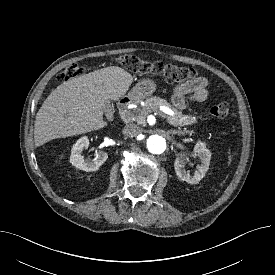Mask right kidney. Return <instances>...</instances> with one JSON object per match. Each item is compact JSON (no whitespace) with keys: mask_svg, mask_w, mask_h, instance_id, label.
Instances as JSON below:
<instances>
[{"mask_svg":"<svg viewBox=\"0 0 275 275\" xmlns=\"http://www.w3.org/2000/svg\"><path fill=\"white\" fill-rule=\"evenodd\" d=\"M89 146V139L84 136L80 138L72 147L70 155V163L76 168L92 172L99 169V167L107 160L108 154L104 151H99L94 159L84 160L82 151Z\"/></svg>","mask_w":275,"mask_h":275,"instance_id":"obj_1","label":"right kidney"}]
</instances>
